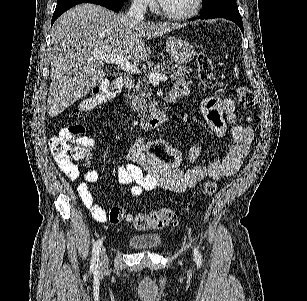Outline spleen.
<instances>
[{"mask_svg": "<svg viewBox=\"0 0 307 301\" xmlns=\"http://www.w3.org/2000/svg\"><path fill=\"white\" fill-rule=\"evenodd\" d=\"M233 72H234L235 78H239V70H238L237 64H235V66L233 68Z\"/></svg>", "mask_w": 307, "mask_h": 301, "instance_id": "obj_1", "label": "spleen"}]
</instances>
